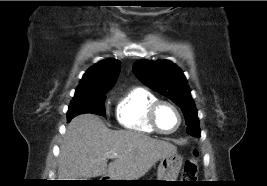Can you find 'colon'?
I'll return each mask as SVG.
<instances>
[{"label":"colon","instance_id":"colon-1","mask_svg":"<svg viewBox=\"0 0 267 186\" xmlns=\"http://www.w3.org/2000/svg\"><path fill=\"white\" fill-rule=\"evenodd\" d=\"M198 151L194 150L192 156L183 165L182 178L185 182H194L198 173Z\"/></svg>","mask_w":267,"mask_h":186}]
</instances>
